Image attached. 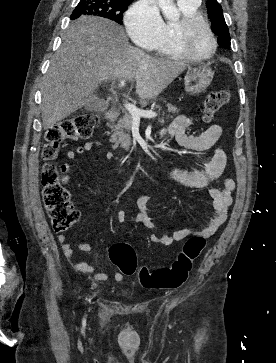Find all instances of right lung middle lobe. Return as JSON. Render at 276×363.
<instances>
[{
    "label": "right lung middle lobe",
    "mask_w": 276,
    "mask_h": 363,
    "mask_svg": "<svg viewBox=\"0 0 276 363\" xmlns=\"http://www.w3.org/2000/svg\"><path fill=\"white\" fill-rule=\"evenodd\" d=\"M131 2L118 0H80L71 19L81 15L99 16L122 24L123 13Z\"/></svg>",
    "instance_id": "dd1d6c3e"
}]
</instances>
